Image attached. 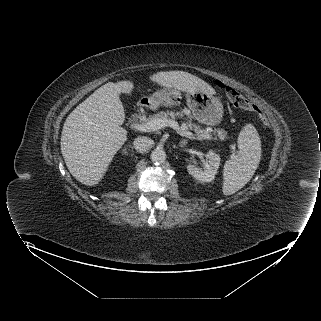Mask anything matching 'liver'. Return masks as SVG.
Instances as JSON below:
<instances>
[{
	"label": "liver",
	"mask_w": 321,
	"mask_h": 321,
	"mask_svg": "<svg viewBox=\"0 0 321 321\" xmlns=\"http://www.w3.org/2000/svg\"><path fill=\"white\" fill-rule=\"evenodd\" d=\"M149 80L182 92L215 93L208 83L184 71L158 72ZM133 86L128 80L106 83L68 115L61 135V153L72 176L82 184H98L126 142L127 131L121 127L125 112L119 96L131 94Z\"/></svg>",
	"instance_id": "liver-1"
}]
</instances>
